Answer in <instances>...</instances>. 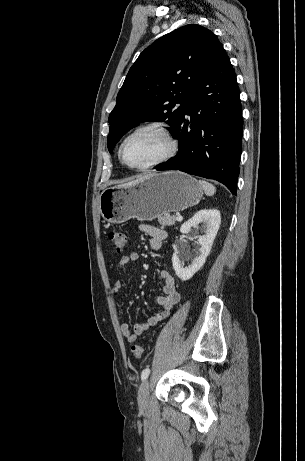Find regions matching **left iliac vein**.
Segmentation results:
<instances>
[{
  "label": "left iliac vein",
  "mask_w": 305,
  "mask_h": 461,
  "mask_svg": "<svg viewBox=\"0 0 305 461\" xmlns=\"http://www.w3.org/2000/svg\"><path fill=\"white\" fill-rule=\"evenodd\" d=\"M138 405L140 409H146L149 406V381L144 380L138 390Z\"/></svg>",
  "instance_id": "obj_1"
}]
</instances>
